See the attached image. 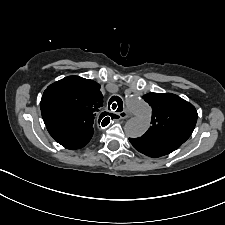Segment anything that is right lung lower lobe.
<instances>
[{
  "instance_id": "obj_1",
  "label": "right lung lower lobe",
  "mask_w": 225,
  "mask_h": 225,
  "mask_svg": "<svg viewBox=\"0 0 225 225\" xmlns=\"http://www.w3.org/2000/svg\"><path fill=\"white\" fill-rule=\"evenodd\" d=\"M50 135L64 148L76 150L84 147L92 138L94 131L71 125H46Z\"/></svg>"
}]
</instances>
